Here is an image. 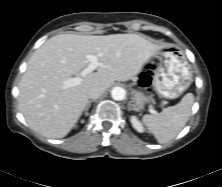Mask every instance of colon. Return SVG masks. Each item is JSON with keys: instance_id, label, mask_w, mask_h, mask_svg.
<instances>
[{"instance_id": "colon-1", "label": "colon", "mask_w": 222, "mask_h": 187, "mask_svg": "<svg viewBox=\"0 0 222 187\" xmlns=\"http://www.w3.org/2000/svg\"><path fill=\"white\" fill-rule=\"evenodd\" d=\"M147 77H148V74H145V76H144V78L142 80V83H143L144 86L148 85V78Z\"/></svg>"}]
</instances>
